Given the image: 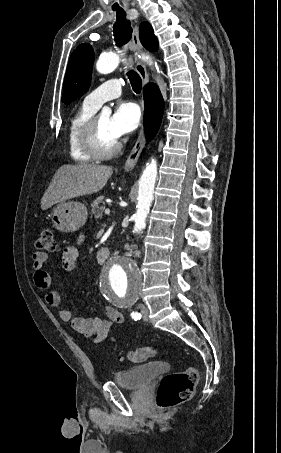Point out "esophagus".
Returning a JSON list of instances; mask_svg holds the SVG:
<instances>
[{
	"mask_svg": "<svg viewBox=\"0 0 281 453\" xmlns=\"http://www.w3.org/2000/svg\"><path fill=\"white\" fill-rule=\"evenodd\" d=\"M133 52H139L142 49V45L139 40V33H138V26L135 25L133 29V36H132V42H131V47H130ZM136 70L138 74L140 75L143 84L146 85L148 83V76H147V71L145 65L141 62L136 60ZM146 139H145V134H144V127L142 125L139 136L137 138V141L127 158L125 165H124V170L126 172H131L134 168V166L137 163V160L145 146Z\"/></svg>",
	"mask_w": 281,
	"mask_h": 453,
	"instance_id": "obj_1",
	"label": "esophagus"
}]
</instances>
